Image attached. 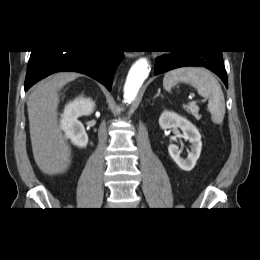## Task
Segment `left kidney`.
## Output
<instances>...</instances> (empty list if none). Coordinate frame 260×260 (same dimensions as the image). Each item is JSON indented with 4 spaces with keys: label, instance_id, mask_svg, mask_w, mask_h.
Here are the masks:
<instances>
[{
    "label": "left kidney",
    "instance_id": "obj_1",
    "mask_svg": "<svg viewBox=\"0 0 260 260\" xmlns=\"http://www.w3.org/2000/svg\"><path fill=\"white\" fill-rule=\"evenodd\" d=\"M161 129H171L179 127L183 132V138L191 143V151L186 159L180 156L181 151L178 146L171 144L168 152L175 163L184 171H191L200 157L202 142L198 129L187 119L171 111H164L159 118Z\"/></svg>",
    "mask_w": 260,
    "mask_h": 260
}]
</instances>
